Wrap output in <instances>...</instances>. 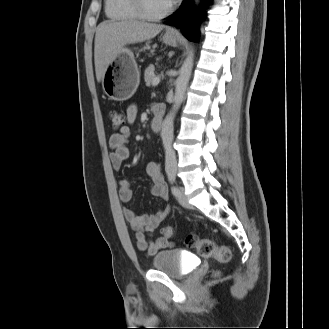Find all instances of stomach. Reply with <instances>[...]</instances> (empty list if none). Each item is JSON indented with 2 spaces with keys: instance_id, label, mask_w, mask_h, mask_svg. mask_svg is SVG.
<instances>
[{
  "instance_id": "obj_1",
  "label": "stomach",
  "mask_w": 329,
  "mask_h": 329,
  "mask_svg": "<svg viewBox=\"0 0 329 329\" xmlns=\"http://www.w3.org/2000/svg\"><path fill=\"white\" fill-rule=\"evenodd\" d=\"M163 42L175 47L177 38L165 33ZM140 82V73L133 52L122 47L115 59L108 64L102 78L104 93L114 101H126L136 92Z\"/></svg>"
}]
</instances>
